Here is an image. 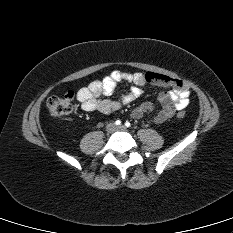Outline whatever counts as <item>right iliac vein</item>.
Here are the masks:
<instances>
[{
  "label": "right iliac vein",
  "mask_w": 233,
  "mask_h": 233,
  "mask_svg": "<svg viewBox=\"0 0 233 233\" xmlns=\"http://www.w3.org/2000/svg\"><path fill=\"white\" fill-rule=\"evenodd\" d=\"M114 130H115L114 124L110 123V124H108V125L106 126V131H107V133H112V132H114Z\"/></svg>",
  "instance_id": "1"
}]
</instances>
